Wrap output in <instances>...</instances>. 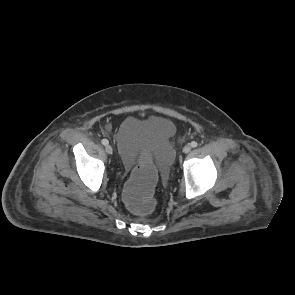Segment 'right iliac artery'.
<instances>
[{
	"mask_svg": "<svg viewBox=\"0 0 295 295\" xmlns=\"http://www.w3.org/2000/svg\"><path fill=\"white\" fill-rule=\"evenodd\" d=\"M101 143H102L103 145H107L109 142H108L107 139H102Z\"/></svg>",
	"mask_w": 295,
	"mask_h": 295,
	"instance_id": "1",
	"label": "right iliac artery"
}]
</instances>
